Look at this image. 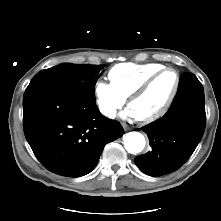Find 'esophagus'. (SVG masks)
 <instances>
[{
  "instance_id": "obj_1",
  "label": "esophagus",
  "mask_w": 221,
  "mask_h": 221,
  "mask_svg": "<svg viewBox=\"0 0 221 221\" xmlns=\"http://www.w3.org/2000/svg\"><path fill=\"white\" fill-rule=\"evenodd\" d=\"M122 127L124 128L125 131L129 130V126L126 123H122Z\"/></svg>"
}]
</instances>
